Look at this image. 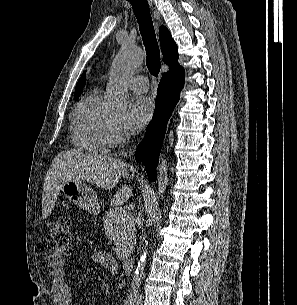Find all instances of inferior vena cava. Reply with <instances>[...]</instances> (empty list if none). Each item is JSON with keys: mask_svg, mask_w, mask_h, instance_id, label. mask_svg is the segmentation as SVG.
<instances>
[{"mask_svg": "<svg viewBox=\"0 0 297 305\" xmlns=\"http://www.w3.org/2000/svg\"><path fill=\"white\" fill-rule=\"evenodd\" d=\"M135 297H136L137 302H140V301H141V297L139 296V294H138V293L136 294V296H135Z\"/></svg>", "mask_w": 297, "mask_h": 305, "instance_id": "obj_1", "label": "inferior vena cava"}]
</instances>
